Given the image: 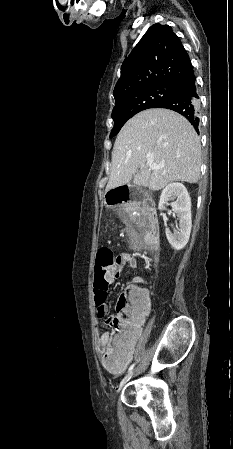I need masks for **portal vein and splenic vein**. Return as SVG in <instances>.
<instances>
[{"label": "portal vein and splenic vein", "mask_w": 233, "mask_h": 449, "mask_svg": "<svg viewBox=\"0 0 233 449\" xmlns=\"http://www.w3.org/2000/svg\"><path fill=\"white\" fill-rule=\"evenodd\" d=\"M147 165H148L151 169H157V168H159V166H157L155 163H153V161L150 160V159L147 161Z\"/></svg>", "instance_id": "portal-vein-and-splenic-vein-1"}]
</instances>
